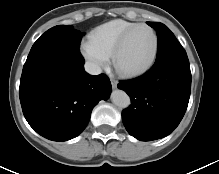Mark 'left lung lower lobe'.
Segmentation results:
<instances>
[{
  "mask_svg": "<svg viewBox=\"0 0 219 174\" xmlns=\"http://www.w3.org/2000/svg\"><path fill=\"white\" fill-rule=\"evenodd\" d=\"M118 88L131 97L122 120L128 133L141 141L163 138L174 131L188 106L191 72L186 55L156 60L143 76L120 81Z\"/></svg>",
  "mask_w": 219,
  "mask_h": 174,
  "instance_id": "obj_1",
  "label": "left lung lower lobe"
}]
</instances>
